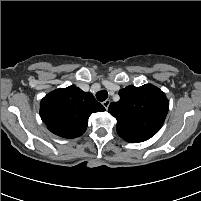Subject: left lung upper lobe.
<instances>
[{"label": "left lung upper lobe", "instance_id": "5c2ea615", "mask_svg": "<svg viewBox=\"0 0 201 201\" xmlns=\"http://www.w3.org/2000/svg\"><path fill=\"white\" fill-rule=\"evenodd\" d=\"M120 100L112 102L108 112L117 120L118 135L138 143L153 137L166 118L169 101L164 92L151 84L127 86L119 91Z\"/></svg>", "mask_w": 201, "mask_h": 201}]
</instances>
